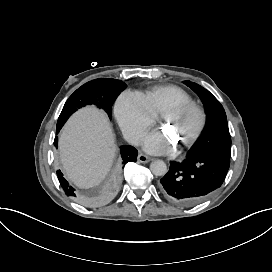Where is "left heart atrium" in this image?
<instances>
[{"mask_svg": "<svg viewBox=\"0 0 272 272\" xmlns=\"http://www.w3.org/2000/svg\"><path fill=\"white\" fill-rule=\"evenodd\" d=\"M170 137L159 129H155L148 133L145 137V148L157 154H163L171 151Z\"/></svg>", "mask_w": 272, "mask_h": 272, "instance_id": "left-heart-atrium-1", "label": "left heart atrium"}]
</instances>
